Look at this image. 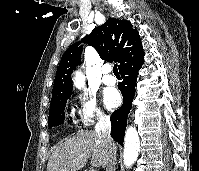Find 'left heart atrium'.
<instances>
[{"label": "left heart atrium", "instance_id": "left-heart-atrium-1", "mask_svg": "<svg viewBox=\"0 0 199 171\" xmlns=\"http://www.w3.org/2000/svg\"><path fill=\"white\" fill-rule=\"evenodd\" d=\"M121 102V97L116 90H108L104 94V103L107 108L112 109L117 107Z\"/></svg>", "mask_w": 199, "mask_h": 171}]
</instances>
